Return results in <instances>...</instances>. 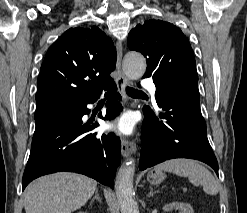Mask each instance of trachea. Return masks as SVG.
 <instances>
[{"instance_id":"3493384b","label":"trachea","mask_w":247,"mask_h":213,"mask_svg":"<svg viewBox=\"0 0 247 213\" xmlns=\"http://www.w3.org/2000/svg\"><path fill=\"white\" fill-rule=\"evenodd\" d=\"M126 93L128 95H134V94H137V93H141V91H139L137 89L130 88V87H126Z\"/></svg>"}]
</instances>
